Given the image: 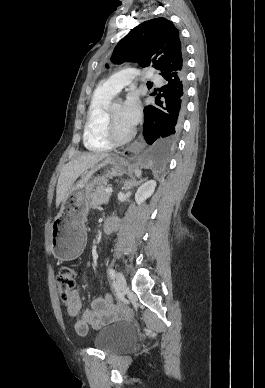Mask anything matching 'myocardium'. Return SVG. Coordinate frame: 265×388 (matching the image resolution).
Instances as JSON below:
<instances>
[{"label":"myocardium","mask_w":265,"mask_h":388,"mask_svg":"<svg viewBox=\"0 0 265 388\" xmlns=\"http://www.w3.org/2000/svg\"><path fill=\"white\" fill-rule=\"evenodd\" d=\"M98 91H115L116 94H118L120 90H105V87H104L99 89ZM101 128H102L103 136L111 143H116V144H121L129 141L135 134V130L132 128H130L125 132H120L115 128L111 119L110 106L107 107L105 110V113L102 119Z\"/></svg>","instance_id":"obj_1"}]
</instances>
